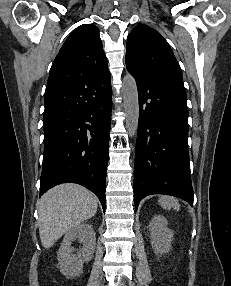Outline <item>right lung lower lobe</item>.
I'll list each match as a JSON object with an SVG mask.
<instances>
[{"mask_svg":"<svg viewBox=\"0 0 231 286\" xmlns=\"http://www.w3.org/2000/svg\"><path fill=\"white\" fill-rule=\"evenodd\" d=\"M110 73L79 84L44 113L40 196L71 182L95 193L105 209L112 109Z\"/></svg>","mask_w":231,"mask_h":286,"instance_id":"right-lung-lower-lobe-1","label":"right lung lower lobe"}]
</instances>
